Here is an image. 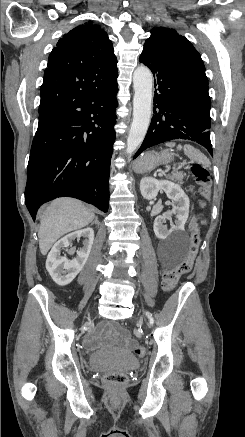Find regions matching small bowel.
<instances>
[{"instance_id":"c3829d8e","label":"small bowel","mask_w":245,"mask_h":437,"mask_svg":"<svg viewBox=\"0 0 245 437\" xmlns=\"http://www.w3.org/2000/svg\"><path fill=\"white\" fill-rule=\"evenodd\" d=\"M190 225L191 227H194L195 224L193 220L191 221ZM99 331L109 337H113L126 347H131L134 345V341L128 337L127 333L123 330H116L114 327L109 325H103Z\"/></svg>"}]
</instances>
